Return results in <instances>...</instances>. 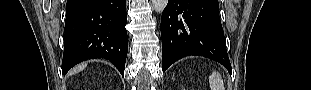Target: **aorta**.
Instances as JSON below:
<instances>
[{
  "label": "aorta",
  "instance_id": "aorta-1",
  "mask_svg": "<svg viewBox=\"0 0 311 90\" xmlns=\"http://www.w3.org/2000/svg\"><path fill=\"white\" fill-rule=\"evenodd\" d=\"M168 0H152L153 9L157 13H162L167 6Z\"/></svg>",
  "mask_w": 311,
  "mask_h": 90
}]
</instances>
